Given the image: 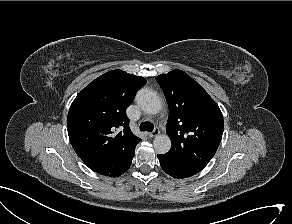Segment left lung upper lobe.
<instances>
[{
	"mask_svg": "<svg viewBox=\"0 0 292 224\" xmlns=\"http://www.w3.org/2000/svg\"><path fill=\"white\" fill-rule=\"evenodd\" d=\"M169 106L166 132L171 149L165 158L200 172L221 142L224 120L220 108L188 74L173 70L156 77Z\"/></svg>",
	"mask_w": 292,
	"mask_h": 224,
	"instance_id": "obj_1",
	"label": "left lung upper lobe"
}]
</instances>
